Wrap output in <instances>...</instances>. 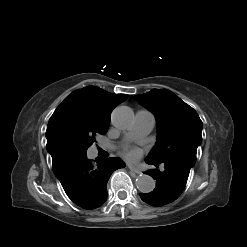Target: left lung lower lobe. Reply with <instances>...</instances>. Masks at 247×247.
Segmentation results:
<instances>
[{
	"label": "left lung lower lobe",
	"instance_id": "left-lung-lower-lobe-1",
	"mask_svg": "<svg viewBox=\"0 0 247 247\" xmlns=\"http://www.w3.org/2000/svg\"><path fill=\"white\" fill-rule=\"evenodd\" d=\"M145 161L158 166V163L147 158ZM163 165L165 170L162 172L157 169L145 172L156 180V187L150 193H140V197L152 206H163L176 200L183 192L189 176L190 168L179 162L167 161Z\"/></svg>",
	"mask_w": 247,
	"mask_h": 247
}]
</instances>
